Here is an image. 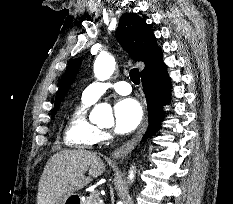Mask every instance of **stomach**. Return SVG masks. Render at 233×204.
<instances>
[{"label":"stomach","instance_id":"0dacf381","mask_svg":"<svg viewBox=\"0 0 233 204\" xmlns=\"http://www.w3.org/2000/svg\"><path fill=\"white\" fill-rule=\"evenodd\" d=\"M68 199V198H67ZM62 204H67V200L65 202H63ZM81 204V203H80Z\"/></svg>","mask_w":233,"mask_h":204}]
</instances>
